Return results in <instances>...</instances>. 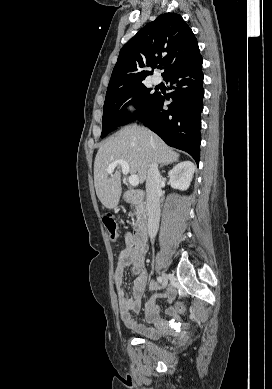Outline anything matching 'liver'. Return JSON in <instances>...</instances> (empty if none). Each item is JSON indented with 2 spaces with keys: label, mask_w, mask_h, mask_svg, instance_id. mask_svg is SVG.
I'll list each match as a JSON object with an SVG mask.
<instances>
[{
  "label": "liver",
  "mask_w": 272,
  "mask_h": 389,
  "mask_svg": "<svg viewBox=\"0 0 272 389\" xmlns=\"http://www.w3.org/2000/svg\"><path fill=\"white\" fill-rule=\"evenodd\" d=\"M179 154L168 147L155 133L145 127L128 125L108 139L98 150L94 162V184L97 197L108 209L115 208L122 193L119 165L114 174L107 172L116 160L129 164V172L137 174L142 184L150 164L177 162Z\"/></svg>",
  "instance_id": "1"
}]
</instances>
